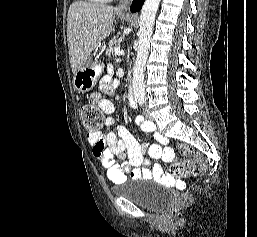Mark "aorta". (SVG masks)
Masks as SVG:
<instances>
[{
	"label": "aorta",
	"mask_w": 257,
	"mask_h": 237,
	"mask_svg": "<svg viewBox=\"0 0 257 237\" xmlns=\"http://www.w3.org/2000/svg\"><path fill=\"white\" fill-rule=\"evenodd\" d=\"M159 4L160 0H145L140 14L139 45L133 69V92L137 100L145 98L144 71Z\"/></svg>",
	"instance_id": "1"
}]
</instances>
